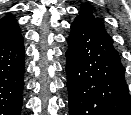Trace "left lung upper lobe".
Here are the masks:
<instances>
[{
    "mask_svg": "<svg viewBox=\"0 0 131 115\" xmlns=\"http://www.w3.org/2000/svg\"><path fill=\"white\" fill-rule=\"evenodd\" d=\"M78 16H80L88 24L94 26L95 28L103 32L105 35H107L108 38H110L104 29L103 23L99 20V18L93 16L92 11L86 5L81 6V10Z\"/></svg>",
    "mask_w": 131,
    "mask_h": 115,
    "instance_id": "5c2ea615",
    "label": "left lung upper lobe"
}]
</instances>
